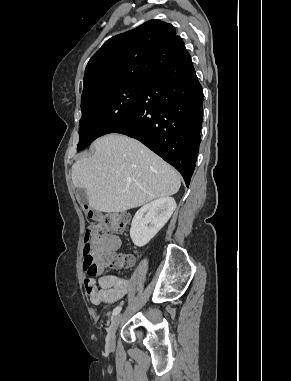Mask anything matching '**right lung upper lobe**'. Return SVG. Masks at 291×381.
Instances as JSON below:
<instances>
[{"mask_svg":"<svg viewBox=\"0 0 291 381\" xmlns=\"http://www.w3.org/2000/svg\"><path fill=\"white\" fill-rule=\"evenodd\" d=\"M186 50L173 25L150 20L107 40L89 60L81 101L120 84L146 82Z\"/></svg>","mask_w":291,"mask_h":381,"instance_id":"1","label":"right lung upper lobe"}]
</instances>
